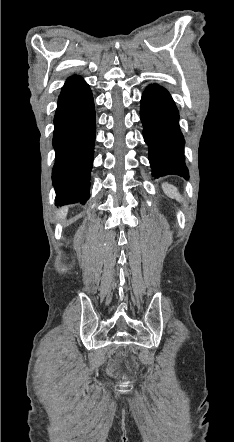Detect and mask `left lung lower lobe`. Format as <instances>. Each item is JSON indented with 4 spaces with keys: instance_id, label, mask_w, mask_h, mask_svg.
<instances>
[{
    "instance_id": "left-lung-lower-lobe-1",
    "label": "left lung lower lobe",
    "mask_w": 234,
    "mask_h": 442,
    "mask_svg": "<svg viewBox=\"0 0 234 442\" xmlns=\"http://www.w3.org/2000/svg\"><path fill=\"white\" fill-rule=\"evenodd\" d=\"M140 117L144 140L149 147L152 175L174 174L188 178L179 112L169 93L156 84L149 85L142 95Z\"/></svg>"
}]
</instances>
